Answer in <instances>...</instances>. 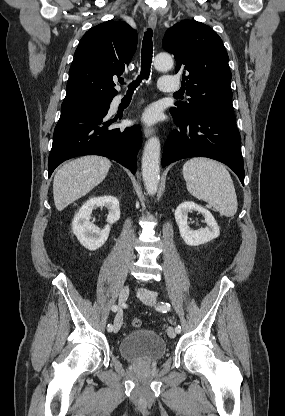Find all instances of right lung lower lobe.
<instances>
[{
  "label": "right lung lower lobe",
  "instance_id": "obj_1",
  "mask_svg": "<svg viewBox=\"0 0 285 416\" xmlns=\"http://www.w3.org/2000/svg\"><path fill=\"white\" fill-rule=\"evenodd\" d=\"M108 110L89 111L60 117L53 135L48 172L73 157L100 155L113 159L136 172L137 152L141 146V130L133 126L120 130L109 127Z\"/></svg>",
  "mask_w": 285,
  "mask_h": 416
}]
</instances>
